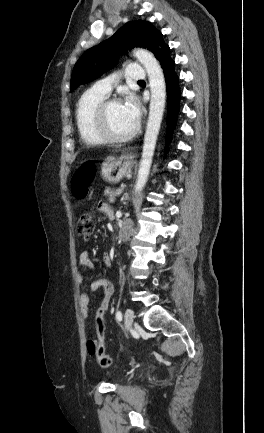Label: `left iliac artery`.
Masks as SVG:
<instances>
[{
	"mask_svg": "<svg viewBox=\"0 0 264 433\" xmlns=\"http://www.w3.org/2000/svg\"><path fill=\"white\" fill-rule=\"evenodd\" d=\"M116 319H117L118 321H121V320H122V313H121L120 311H118V312L116 313Z\"/></svg>",
	"mask_w": 264,
	"mask_h": 433,
	"instance_id": "1",
	"label": "left iliac artery"
}]
</instances>
